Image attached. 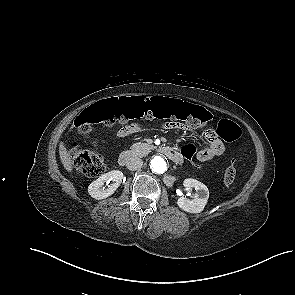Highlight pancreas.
<instances>
[{"label":"pancreas","mask_w":295,"mask_h":295,"mask_svg":"<svg viewBox=\"0 0 295 295\" xmlns=\"http://www.w3.org/2000/svg\"><path fill=\"white\" fill-rule=\"evenodd\" d=\"M154 148L153 145L147 144V143H135L131 146V154L135 156H145Z\"/></svg>","instance_id":"obj_1"}]
</instances>
